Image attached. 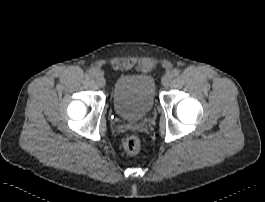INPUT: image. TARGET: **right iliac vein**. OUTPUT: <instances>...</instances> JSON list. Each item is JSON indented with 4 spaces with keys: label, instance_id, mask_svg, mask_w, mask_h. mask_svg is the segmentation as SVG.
<instances>
[{
    "label": "right iliac vein",
    "instance_id": "right-iliac-vein-1",
    "mask_svg": "<svg viewBox=\"0 0 265 202\" xmlns=\"http://www.w3.org/2000/svg\"><path fill=\"white\" fill-rule=\"evenodd\" d=\"M95 81L99 87H104L106 84L104 77L100 73L95 74Z\"/></svg>",
    "mask_w": 265,
    "mask_h": 202
}]
</instances>
